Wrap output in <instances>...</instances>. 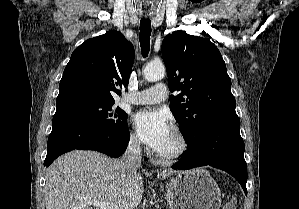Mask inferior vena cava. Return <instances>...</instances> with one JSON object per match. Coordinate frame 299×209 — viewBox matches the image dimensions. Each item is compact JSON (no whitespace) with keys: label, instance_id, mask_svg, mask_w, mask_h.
<instances>
[{"label":"inferior vena cava","instance_id":"inferior-vena-cava-1","mask_svg":"<svg viewBox=\"0 0 299 209\" xmlns=\"http://www.w3.org/2000/svg\"><path fill=\"white\" fill-rule=\"evenodd\" d=\"M141 159L140 142L136 138H131L121 158L122 167L126 170L128 175L136 174L138 168L141 166Z\"/></svg>","mask_w":299,"mask_h":209}]
</instances>
